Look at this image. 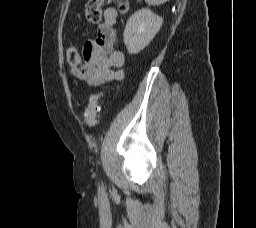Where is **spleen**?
I'll return each instance as SVG.
<instances>
[{
  "label": "spleen",
  "instance_id": "1",
  "mask_svg": "<svg viewBox=\"0 0 256 228\" xmlns=\"http://www.w3.org/2000/svg\"><path fill=\"white\" fill-rule=\"evenodd\" d=\"M167 1H169V0H145V2L149 5H160Z\"/></svg>",
  "mask_w": 256,
  "mask_h": 228
}]
</instances>
